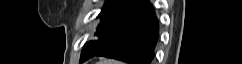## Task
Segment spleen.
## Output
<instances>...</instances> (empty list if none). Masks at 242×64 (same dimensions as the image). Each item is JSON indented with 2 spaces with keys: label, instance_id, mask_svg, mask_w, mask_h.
<instances>
[{
  "label": "spleen",
  "instance_id": "spleen-1",
  "mask_svg": "<svg viewBox=\"0 0 242 64\" xmlns=\"http://www.w3.org/2000/svg\"><path fill=\"white\" fill-rule=\"evenodd\" d=\"M100 64H120V63L117 62V61L106 60V61H104V62H102V63H100Z\"/></svg>",
  "mask_w": 242,
  "mask_h": 64
}]
</instances>
